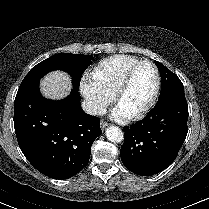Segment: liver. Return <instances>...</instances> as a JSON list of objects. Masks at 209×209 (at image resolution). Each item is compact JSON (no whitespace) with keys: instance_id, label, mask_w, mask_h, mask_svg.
<instances>
[{"instance_id":"1","label":"liver","mask_w":209,"mask_h":209,"mask_svg":"<svg viewBox=\"0 0 209 209\" xmlns=\"http://www.w3.org/2000/svg\"><path fill=\"white\" fill-rule=\"evenodd\" d=\"M71 88L70 77L62 71H53L40 82L42 95L53 100L65 98L69 95Z\"/></svg>"}]
</instances>
